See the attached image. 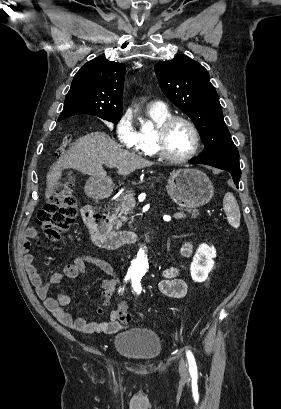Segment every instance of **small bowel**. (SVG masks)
<instances>
[{"label":"small bowel","instance_id":"obj_1","mask_svg":"<svg viewBox=\"0 0 281 409\" xmlns=\"http://www.w3.org/2000/svg\"><path fill=\"white\" fill-rule=\"evenodd\" d=\"M35 238H37L36 229L29 227L22 244L25 269L39 299L62 324L82 333L102 334H116L125 331L129 327L130 320L127 321L120 318V315L128 314V304L125 300L118 302L117 307L110 312L108 320H95L93 318L76 317L68 312L66 307L70 303L69 295L61 293L56 297H50L48 294L49 283L43 281L37 272L34 255L30 252V240ZM35 243L38 245L40 242L37 240ZM38 248L41 250L43 247L40 245ZM191 251V243L187 242L179 247V253L183 256H189ZM87 263L95 265L105 274L109 275V278L101 283V307L97 309V313L101 314L103 309L109 305L111 297L117 293L120 285V278L115 269L103 258L95 255L79 256L73 263L67 264L61 273H53L50 277V283L57 285L64 279H78L85 273ZM158 290L164 296L175 300L185 297L189 291V286L181 278L180 268L169 266L161 271Z\"/></svg>","mask_w":281,"mask_h":409}]
</instances>
